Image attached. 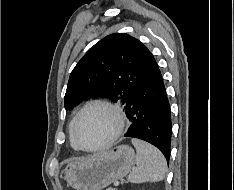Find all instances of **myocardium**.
Listing matches in <instances>:
<instances>
[{
  "label": "myocardium",
  "mask_w": 234,
  "mask_h": 190,
  "mask_svg": "<svg viewBox=\"0 0 234 190\" xmlns=\"http://www.w3.org/2000/svg\"><path fill=\"white\" fill-rule=\"evenodd\" d=\"M94 107H101V108L108 110L115 119L116 127H115L114 132L111 134V136L104 142L94 147H85L81 145L77 140V136H76L77 127H78L81 117L89 109L94 108ZM124 127H125V117H124L123 112L117 105L107 100H103V99L91 100L80 109V111L77 113L76 117L74 118V122H73L72 129H71V139L73 143L76 145L77 149H80L86 152H95V151L104 149L108 147L110 144H112L121 135V133L124 130Z\"/></svg>",
  "instance_id": "f54148a6"
}]
</instances>
